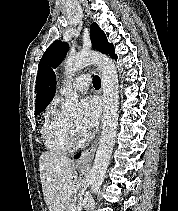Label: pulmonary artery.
<instances>
[{"mask_svg":"<svg viewBox=\"0 0 178 211\" xmlns=\"http://www.w3.org/2000/svg\"><path fill=\"white\" fill-rule=\"evenodd\" d=\"M91 84V77L90 75H81L77 77L71 86L69 87H62L60 89L61 95H64L68 92V90L72 89L74 91L83 92L86 91Z\"/></svg>","mask_w":178,"mask_h":211,"instance_id":"pulmonary-artery-1","label":"pulmonary artery"}]
</instances>
